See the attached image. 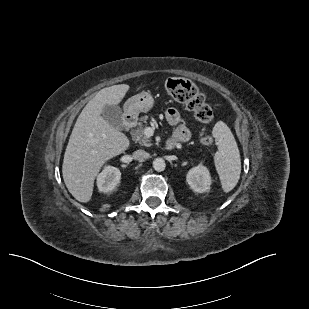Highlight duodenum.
<instances>
[{"label":"duodenum","instance_id":"duodenum-1","mask_svg":"<svg viewBox=\"0 0 309 309\" xmlns=\"http://www.w3.org/2000/svg\"><path fill=\"white\" fill-rule=\"evenodd\" d=\"M123 123H124V129L126 131H129L136 124V118L133 114L128 113L124 116ZM176 143H177V141L175 139L171 138L166 142L165 147L167 149H173L175 147Z\"/></svg>","mask_w":309,"mask_h":309}]
</instances>
